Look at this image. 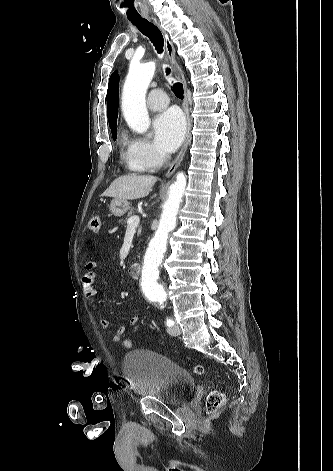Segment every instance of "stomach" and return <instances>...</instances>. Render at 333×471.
I'll list each match as a JSON object with an SVG mask.
<instances>
[{"mask_svg": "<svg viewBox=\"0 0 333 471\" xmlns=\"http://www.w3.org/2000/svg\"><path fill=\"white\" fill-rule=\"evenodd\" d=\"M130 208V203L127 200H120L114 198L109 206L110 212L117 217L123 216Z\"/></svg>", "mask_w": 333, "mask_h": 471, "instance_id": "1", "label": "stomach"}]
</instances>
